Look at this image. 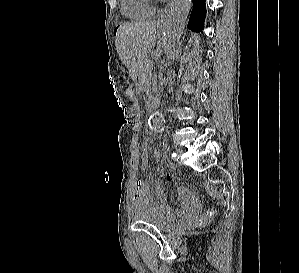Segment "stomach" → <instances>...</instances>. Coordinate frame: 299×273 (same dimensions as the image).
I'll use <instances>...</instances> for the list:
<instances>
[{
	"label": "stomach",
	"instance_id": "0dacf381",
	"mask_svg": "<svg viewBox=\"0 0 299 273\" xmlns=\"http://www.w3.org/2000/svg\"><path fill=\"white\" fill-rule=\"evenodd\" d=\"M137 79H138L137 87H138L139 90H141L143 88L142 79L138 78V77H137Z\"/></svg>",
	"mask_w": 299,
	"mask_h": 273
}]
</instances>
